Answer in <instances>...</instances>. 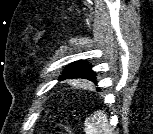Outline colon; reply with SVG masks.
I'll return each instance as SVG.
<instances>
[{
  "label": "colon",
  "mask_w": 153,
  "mask_h": 134,
  "mask_svg": "<svg viewBox=\"0 0 153 134\" xmlns=\"http://www.w3.org/2000/svg\"><path fill=\"white\" fill-rule=\"evenodd\" d=\"M53 134H70V132L67 126L59 125L53 130Z\"/></svg>",
  "instance_id": "obj_1"
}]
</instances>
